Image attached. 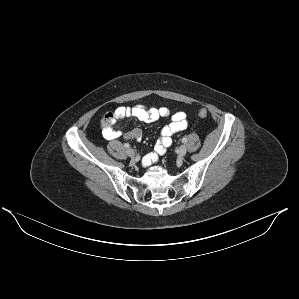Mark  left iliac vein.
<instances>
[{
  "label": "left iliac vein",
  "mask_w": 299,
  "mask_h": 299,
  "mask_svg": "<svg viewBox=\"0 0 299 299\" xmlns=\"http://www.w3.org/2000/svg\"><path fill=\"white\" fill-rule=\"evenodd\" d=\"M178 155L180 156V157H183V156H185V154H186V152H187V149H186V147L184 146V145H182V146H180L179 148H178Z\"/></svg>",
  "instance_id": "left-iliac-vein-1"
}]
</instances>
